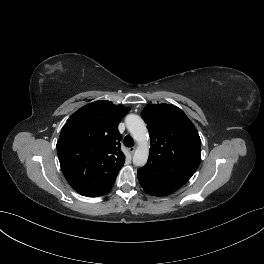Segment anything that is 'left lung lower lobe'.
Listing matches in <instances>:
<instances>
[{
	"instance_id": "left-lung-lower-lobe-1",
	"label": "left lung lower lobe",
	"mask_w": 264,
	"mask_h": 264,
	"mask_svg": "<svg viewBox=\"0 0 264 264\" xmlns=\"http://www.w3.org/2000/svg\"><path fill=\"white\" fill-rule=\"evenodd\" d=\"M138 180L148 194L155 196L169 195L188 181L179 175L163 172L153 162H148L138 170Z\"/></svg>"
}]
</instances>
